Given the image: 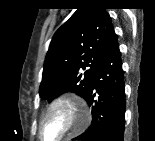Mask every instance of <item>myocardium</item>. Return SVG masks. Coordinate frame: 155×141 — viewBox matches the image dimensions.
<instances>
[{"label": "myocardium", "mask_w": 155, "mask_h": 141, "mask_svg": "<svg viewBox=\"0 0 155 141\" xmlns=\"http://www.w3.org/2000/svg\"><path fill=\"white\" fill-rule=\"evenodd\" d=\"M57 110L63 112L66 118L67 127L58 137L52 141H62L76 134L82 130L90 120V115L86 106L78 99L66 95L54 97L43 108L40 114L38 122V136L40 139L45 140L42 132L43 124L47 118Z\"/></svg>", "instance_id": "myocardium-1"}]
</instances>
